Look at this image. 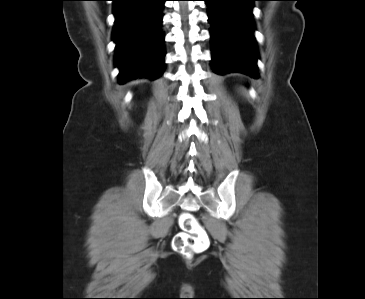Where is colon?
Instances as JSON below:
<instances>
[{"instance_id":"obj_1","label":"colon","mask_w":365,"mask_h":299,"mask_svg":"<svg viewBox=\"0 0 365 299\" xmlns=\"http://www.w3.org/2000/svg\"><path fill=\"white\" fill-rule=\"evenodd\" d=\"M182 232L173 239V248L180 254L191 256L204 251L210 243V238L200 222L190 213H183L179 217Z\"/></svg>"}]
</instances>
